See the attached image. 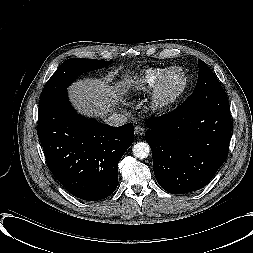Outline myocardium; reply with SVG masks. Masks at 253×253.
Returning a JSON list of instances; mask_svg holds the SVG:
<instances>
[{"mask_svg":"<svg viewBox=\"0 0 253 253\" xmlns=\"http://www.w3.org/2000/svg\"><path fill=\"white\" fill-rule=\"evenodd\" d=\"M175 71L181 72L183 76V83L180 89L170 96H164L162 94V87L163 83L166 80V78ZM189 84V79L187 76V73L185 70L179 66L170 67L167 70H165L156 83L154 84L153 88L150 92V97L148 101V107L153 113L162 114L170 109H172L182 98L184 93L186 92Z\"/></svg>","mask_w":253,"mask_h":253,"instance_id":"obj_1","label":"myocardium"}]
</instances>
